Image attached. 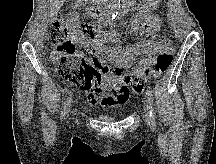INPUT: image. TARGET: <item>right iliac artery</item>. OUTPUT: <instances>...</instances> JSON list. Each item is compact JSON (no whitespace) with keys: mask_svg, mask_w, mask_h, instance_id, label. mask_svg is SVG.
I'll list each match as a JSON object with an SVG mask.
<instances>
[{"mask_svg":"<svg viewBox=\"0 0 216 164\" xmlns=\"http://www.w3.org/2000/svg\"><path fill=\"white\" fill-rule=\"evenodd\" d=\"M71 100H72V98H71V96H70V97H68V99H67V101H66V103H65V114H66V115H68V112H69V110H70Z\"/></svg>","mask_w":216,"mask_h":164,"instance_id":"82829eb1","label":"right iliac artery"}]
</instances>
